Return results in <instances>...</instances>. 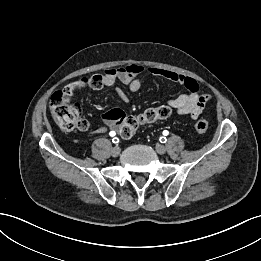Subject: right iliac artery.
Segmentation results:
<instances>
[{
  "label": "right iliac artery",
  "mask_w": 261,
  "mask_h": 261,
  "mask_svg": "<svg viewBox=\"0 0 261 261\" xmlns=\"http://www.w3.org/2000/svg\"><path fill=\"white\" fill-rule=\"evenodd\" d=\"M115 134H116V133H115L114 131H111V132H110V135H111V136H115ZM112 142L115 143V144H117V143L119 142V139H118L117 137H115V138L112 139Z\"/></svg>",
  "instance_id": "82829eb1"
}]
</instances>
